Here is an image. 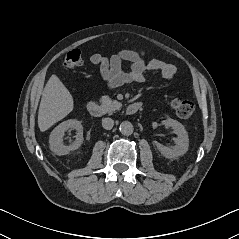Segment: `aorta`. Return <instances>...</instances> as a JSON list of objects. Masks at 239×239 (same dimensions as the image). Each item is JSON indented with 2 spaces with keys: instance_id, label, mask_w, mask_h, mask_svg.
<instances>
[{
  "instance_id": "762f6f07",
  "label": "aorta",
  "mask_w": 239,
  "mask_h": 239,
  "mask_svg": "<svg viewBox=\"0 0 239 239\" xmlns=\"http://www.w3.org/2000/svg\"><path fill=\"white\" fill-rule=\"evenodd\" d=\"M120 132L124 135H131L134 131V127L131 122L124 121L120 124Z\"/></svg>"
}]
</instances>
